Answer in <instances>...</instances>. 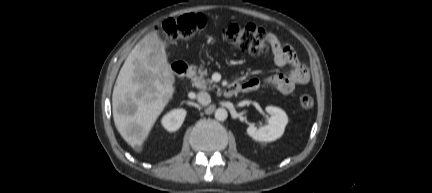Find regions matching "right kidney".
I'll use <instances>...</instances> for the list:
<instances>
[{
	"instance_id": "ca27d5eb",
	"label": "right kidney",
	"mask_w": 432,
	"mask_h": 193,
	"mask_svg": "<svg viewBox=\"0 0 432 193\" xmlns=\"http://www.w3.org/2000/svg\"><path fill=\"white\" fill-rule=\"evenodd\" d=\"M185 116L186 111L184 109H174L162 118L161 123L166 130L174 132L181 127Z\"/></svg>"
}]
</instances>
